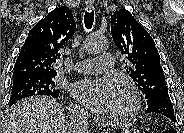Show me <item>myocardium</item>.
Segmentation results:
<instances>
[{"label":"myocardium","instance_id":"f54148a6","mask_svg":"<svg viewBox=\"0 0 184 133\" xmlns=\"http://www.w3.org/2000/svg\"><path fill=\"white\" fill-rule=\"evenodd\" d=\"M120 93L127 101V108L121 114L110 115V119L116 123H126L133 119L140 110V97L137 89L132 84H126L120 89Z\"/></svg>","mask_w":184,"mask_h":133}]
</instances>
